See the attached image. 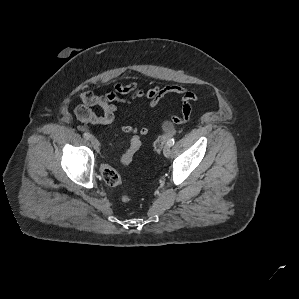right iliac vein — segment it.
<instances>
[{
	"mask_svg": "<svg viewBox=\"0 0 299 299\" xmlns=\"http://www.w3.org/2000/svg\"><path fill=\"white\" fill-rule=\"evenodd\" d=\"M90 141H91V144L93 145V147L98 150L99 149V146H100V143L99 141L95 138V137H91L90 138Z\"/></svg>",
	"mask_w": 299,
	"mask_h": 299,
	"instance_id": "63e3f726",
	"label": "right iliac vein"
}]
</instances>
